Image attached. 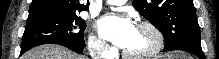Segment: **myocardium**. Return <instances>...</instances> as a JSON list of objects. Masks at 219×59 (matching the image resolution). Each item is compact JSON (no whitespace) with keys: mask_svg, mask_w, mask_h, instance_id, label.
Instances as JSON below:
<instances>
[{"mask_svg":"<svg viewBox=\"0 0 219 59\" xmlns=\"http://www.w3.org/2000/svg\"><path fill=\"white\" fill-rule=\"evenodd\" d=\"M138 28H143L150 31L154 37V44L152 48L141 54H132L122 49V55L126 59H150L156 56L164 47V35L161 30L150 21H141L137 24Z\"/></svg>","mask_w":219,"mask_h":59,"instance_id":"obj_1","label":"myocardium"}]
</instances>
